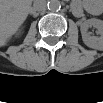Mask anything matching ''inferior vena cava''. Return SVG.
Segmentation results:
<instances>
[{"mask_svg": "<svg viewBox=\"0 0 103 103\" xmlns=\"http://www.w3.org/2000/svg\"><path fill=\"white\" fill-rule=\"evenodd\" d=\"M33 9L38 12L44 11L46 9V2L44 0H36L33 4Z\"/></svg>", "mask_w": 103, "mask_h": 103, "instance_id": "1", "label": "inferior vena cava"}]
</instances>
